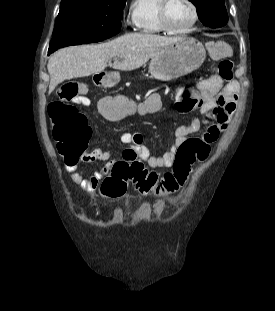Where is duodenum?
<instances>
[{
  "instance_id": "1",
  "label": "duodenum",
  "mask_w": 275,
  "mask_h": 311,
  "mask_svg": "<svg viewBox=\"0 0 275 311\" xmlns=\"http://www.w3.org/2000/svg\"><path fill=\"white\" fill-rule=\"evenodd\" d=\"M99 74H92L91 79L93 84H106L107 83V78L104 77L106 75V70L102 69L99 70Z\"/></svg>"
}]
</instances>
